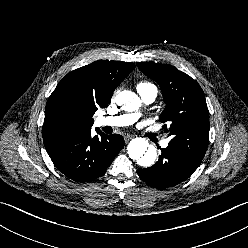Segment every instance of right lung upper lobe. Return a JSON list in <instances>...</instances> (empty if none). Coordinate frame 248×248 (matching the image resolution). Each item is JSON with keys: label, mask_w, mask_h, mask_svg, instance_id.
Segmentation results:
<instances>
[{"label": "right lung upper lobe", "mask_w": 248, "mask_h": 248, "mask_svg": "<svg viewBox=\"0 0 248 248\" xmlns=\"http://www.w3.org/2000/svg\"><path fill=\"white\" fill-rule=\"evenodd\" d=\"M134 68L133 63L103 60L68 73L47 101L44 145L91 131L95 111L108 105L115 88Z\"/></svg>", "instance_id": "right-lung-upper-lobe-1"}]
</instances>
